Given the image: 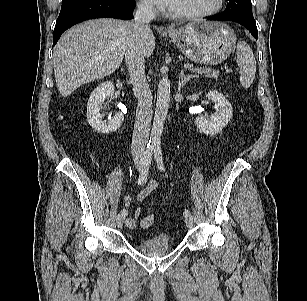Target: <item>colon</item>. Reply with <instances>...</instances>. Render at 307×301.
<instances>
[{
    "label": "colon",
    "mask_w": 307,
    "mask_h": 301,
    "mask_svg": "<svg viewBox=\"0 0 307 301\" xmlns=\"http://www.w3.org/2000/svg\"><path fill=\"white\" fill-rule=\"evenodd\" d=\"M154 223V216L152 214H147L143 217L142 221H141V226L143 228H148L150 226H152Z\"/></svg>",
    "instance_id": "5ec220e1"
}]
</instances>
